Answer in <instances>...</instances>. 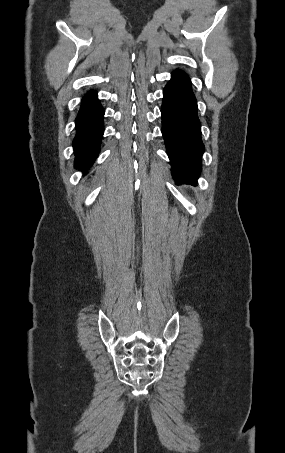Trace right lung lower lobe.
<instances>
[{"label":"right lung lower lobe","mask_w":285,"mask_h":453,"mask_svg":"<svg viewBox=\"0 0 285 453\" xmlns=\"http://www.w3.org/2000/svg\"><path fill=\"white\" fill-rule=\"evenodd\" d=\"M103 117L104 111L97 92L91 90L84 96L75 120L74 166L81 170L89 167L98 156L104 132Z\"/></svg>","instance_id":"right-lung-lower-lobe-1"}]
</instances>
